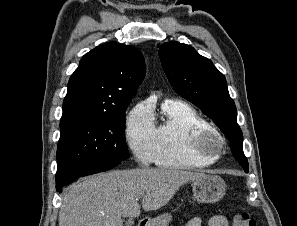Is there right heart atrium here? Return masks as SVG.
Here are the masks:
<instances>
[{
    "mask_svg": "<svg viewBox=\"0 0 297 226\" xmlns=\"http://www.w3.org/2000/svg\"><path fill=\"white\" fill-rule=\"evenodd\" d=\"M155 125L149 106L145 103L135 105L126 119L125 140L142 165H149L155 158Z\"/></svg>",
    "mask_w": 297,
    "mask_h": 226,
    "instance_id": "obj_1",
    "label": "right heart atrium"
}]
</instances>
